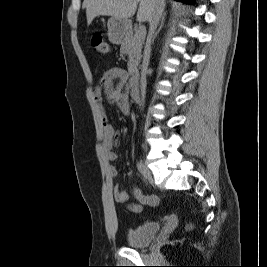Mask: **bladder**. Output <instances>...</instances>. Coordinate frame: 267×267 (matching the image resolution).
<instances>
[{"label": "bladder", "instance_id": "obj_1", "mask_svg": "<svg viewBox=\"0 0 267 267\" xmlns=\"http://www.w3.org/2000/svg\"><path fill=\"white\" fill-rule=\"evenodd\" d=\"M160 231L156 222H148L128 231L126 241L132 248H142L149 245Z\"/></svg>", "mask_w": 267, "mask_h": 267}]
</instances>
